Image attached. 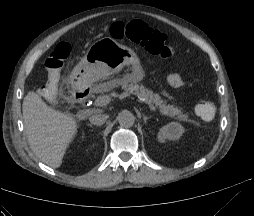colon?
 I'll return each instance as SVG.
<instances>
[{"mask_svg": "<svg viewBox=\"0 0 254 216\" xmlns=\"http://www.w3.org/2000/svg\"><path fill=\"white\" fill-rule=\"evenodd\" d=\"M109 34L117 40H128L144 47L149 53L167 58L169 47L173 44L160 31L148 27L141 21L116 22L109 28ZM71 53V45L68 42L59 43L46 59L47 71L46 84L40 89V93L47 97L57 94V87L61 76L64 61ZM196 114L203 120H212L216 114V105L212 100H203L196 105Z\"/></svg>", "mask_w": 254, "mask_h": 216, "instance_id": "obj_1", "label": "colon"}]
</instances>
